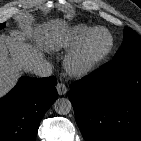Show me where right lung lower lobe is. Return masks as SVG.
<instances>
[{
	"instance_id": "right-lung-lower-lobe-1",
	"label": "right lung lower lobe",
	"mask_w": 141,
	"mask_h": 141,
	"mask_svg": "<svg viewBox=\"0 0 141 141\" xmlns=\"http://www.w3.org/2000/svg\"><path fill=\"white\" fill-rule=\"evenodd\" d=\"M56 78H20L0 99V141H35L41 119L57 99Z\"/></svg>"
}]
</instances>
